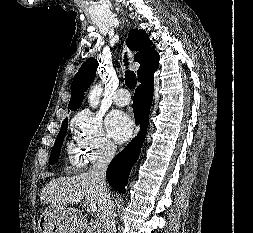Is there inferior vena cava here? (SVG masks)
I'll list each match as a JSON object with an SVG mask.
<instances>
[{"label": "inferior vena cava", "instance_id": "obj_1", "mask_svg": "<svg viewBox=\"0 0 253 233\" xmlns=\"http://www.w3.org/2000/svg\"><path fill=\"white\" fill-rule=\"evenodd\" d=\"M116 152V146L113 142H106L103 146L101 155L92 165L89 173L95 177L100 185L99 211L104 227V233H116L115 213L111 196L106 183V170Z\"/></svg>", "mask_w": 253, "mask_h": 233}]
</instances>
